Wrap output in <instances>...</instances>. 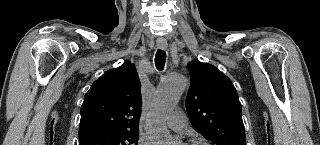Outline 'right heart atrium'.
<instances>
[{
  "instance_id": "right-heart-atrium-1",
  "label": "right heart atrium",
  "mask_w": 320,
  "mask_h": 145,
  "mask_svg": "<svg viewBox=\"0 0 320 145\" xmlns=\"http://www.w3.org/2000/svg\"><path fill=\"white\" fill-rule=\"evenodd\" d=\"M138 145H151V143L145 137H140L138 140Z\"/></svg>"
}]
</instances>
